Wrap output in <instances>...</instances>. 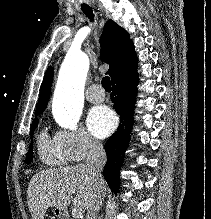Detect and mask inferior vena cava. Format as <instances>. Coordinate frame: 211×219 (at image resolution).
Returning <instances> with one entry per match:
<instances>
[{"label":"inferior vena cava","mask_w":211,"mask_h":219,"mask_svg":"<svg viewBox=\"0 0 211 219\" xmlns=\"http://www.w3.org/2000/svg\"><path fill=\"white\" fill-rule=\"evenodd\" d=\"M89 151L86 158V168L90 173L91 179L94 182L96 195L93 203L89 207L86 219H97V214L100 210V205L103 199L104 179L102 170L106 163L107 157L102 144L96 140H89Z\"/></svg>","instance_id":"1"}]
</instances>
